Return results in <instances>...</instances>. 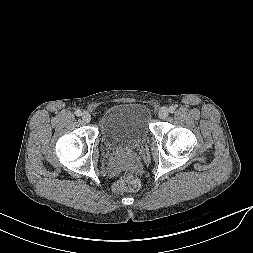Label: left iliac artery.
Segmentation results:
<instances>
[{
  "mask_svg": "<svg viewBox=\"0 0 253 253\" xmlns=\"http://www.w3.org/2000/svg\"><path fill=\"white\" fill-rule=\"evenodd\" d=\"M169 112L174 113L175 112V106H170L169 107Z\"/></svg>",
  "mask_w": 253,
  "mask_h": 253,
  "instance_id": "obj_1",
  "label": "left iliac artery"
}]
</instances>
